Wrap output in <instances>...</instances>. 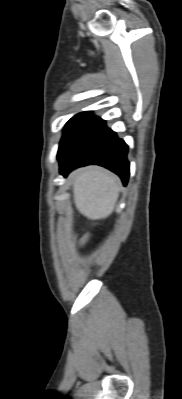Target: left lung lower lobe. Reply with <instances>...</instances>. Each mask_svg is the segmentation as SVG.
Returning <instances> with one entry per match:
<instances>
[{"label":"left lung lower lobe","instance_id":"0a47b994","mask_svg":"<svg viewBox=\"0 0 182 399\" xmlns=\"http://www.w3.org/2000/svg\"><path fill=\"white\" fill-rule=\"evenodd\" d=\"M127 145L115 132L106 127L105 121L90 114L74 131L59 160L60 174L65 177L73 169L95 164L116 173L127 184L129 162Z\"/></svg>","mask_w":182,"mask_h":399}]
</instances>
